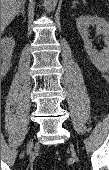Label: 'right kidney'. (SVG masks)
<instances>
[{
	"mask_svg": "<svg viewBox=\"0 0 109 170\" xmlns=\"http://www.w3.org/2000/svg\"><path fill=\"white\" fill-rule=\"evenodd\" d=\"M15 40L12 37L1 39V74L4 76L10 69Z\"/></svg>",
	"mask_w": 109,
	"mask_h": 170,
	"instance_id": "ca27d5eb",
	"label": "right kidney"
}]
</instances>
